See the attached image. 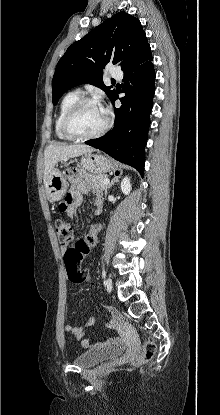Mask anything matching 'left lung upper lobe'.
Returning <instances> with one entry per match:
<instances>
[{
    "label": "left lung upper lobe",
    "mask_w": 220,
    "mask_h": 415,
    "mask_svg": "<svg viewBox=\"0 0 220 415\" xmlns=\"http://www.w3.org/2000/svg\"><path fill=\"white\" fill-rule=\"evenodd\" d=\"M150 57V45L140 21L119 12L69 46L54 73L53 104L65 91L83 83L101 88L111 99L115 90L103 83L106 64L122 61V70H127Z\"/></svg>",
    "instance_id": "1"
}]
</instances>
